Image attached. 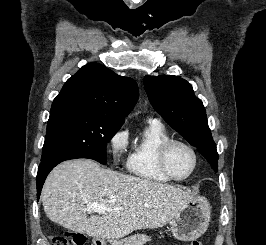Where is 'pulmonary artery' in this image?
I'll return each mask as SVG.
<instances>
[{"label":"pulmonary artery","mask_w":266,"mask_h":245,"mask_svg":"<svg viewBox=\"0 0 266 245\" xmlns=\"http://www.w3.org/2000/svg\"><path fill=\"white\" fill-rule=\"evenodd\" d=\"M149 120L161 121L160 118H157V117H150Z\"/></svg>","instance_id":"e3ab8cb5"}]
</instances>
